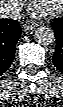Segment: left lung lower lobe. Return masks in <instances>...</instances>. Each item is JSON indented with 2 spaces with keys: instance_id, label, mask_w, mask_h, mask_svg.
I'll return each instance as SVG.
<instances>
[{
  "instance_id": "obj_1",
  "label": "left lung lower lobe",
  "mask_w": 63,
  "mask_h": 107,
  "mask_svg": "<svg viewBox=\"0 0 63 107\" xmlns=\"http://www.w3.org/2000/svg\"><path fill=\"white\" fill-rule=\"evenodd\" d=\"M56 37V49L53 56L55 67L63 73V17L55 19L52 24Z\"/></svg>"
}]
</instances>
